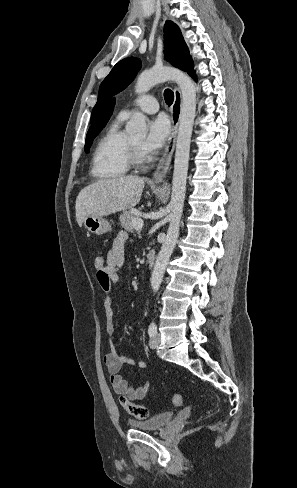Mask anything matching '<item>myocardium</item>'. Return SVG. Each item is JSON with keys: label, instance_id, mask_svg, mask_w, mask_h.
<instances>
[{"label": "myocardium", "instance_id": "1", "mask_svg": "<svg viewBox=\"0 0 297 488\" xmlns=\"http://www.w3.org/2000/svg\"><path fill=\"white\" fill-rule=\"evenodd\" d=\"M129 161L131 165L143 166L147 162L146 156L141 151L140 147L130 141Z\"/></svg>", "mask_w": 297, "mask_h": 488}]
</instances>
